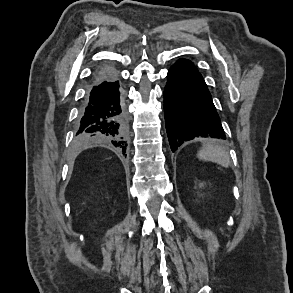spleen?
I'll return each mask as SVG.
<instances>
[{"label":"spleen","mask_w":293,"mask_h":293,"mask_svg":"<svg viewBox=\"0 0 293 293\" xmlns=\"http://www.w3.org/2000/svg\"><path fill=\"white\" fill-rule=\"evenodd\" d=\"M197 156L200 160L215 162L225 168L230 166L229 154L220 145L213 143L204 144Z\"/></svg>","instance_id":"obj_1"}]
</instances>
